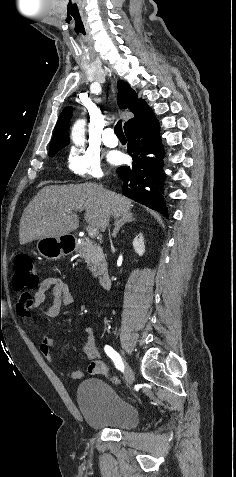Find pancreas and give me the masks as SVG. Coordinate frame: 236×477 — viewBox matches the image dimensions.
<instances>
[{"instance_id":"obj_1","label":"pancreas","mask_w":236,"mask_h":477,"mask_svg":"<svg viewBox=\"0 0 236 477\" xmlns=\"http://www.w3.org/2000/svg\"><path fill=\"white\" fill-rule=\"evenodd\" d=\"M76 252L85 260L94 277L104 273L106 263L100 246L85 238L81 240L80 244H77Z\"/></svg>"}]
</instances>
